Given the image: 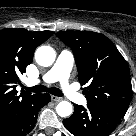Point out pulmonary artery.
<instances>
[{
	"label": "pulmonary artery",
	"mask_w": 136,
	"mask_h": 136,
	"mask_svg": "<svg viewBox=\"0 0 136 136\" xmlns=\"http://www.w3.org/2000/svg\"><path fill=\"white\" fill-rule=\"evenodd\" d=\"M74 58L71 52L63 50L52 68L43 75L42 81L52 83L59 81L61 83L64 94L77 104H86V98L76 91L69 83V74L72 69ZM40 83V80H30L27 82L29 86Z\"/></svg>",
	"instance_id": "obj_1"
}]
</instances>
